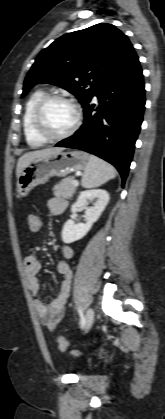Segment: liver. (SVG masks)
<instances>
[{
    "mask_svg": "<svg viewBox=\"0 0 165 419\" xmlns=\"http://www.w3.org/2000/svg\"><path fill=\"white\" fill-rule=\"evenodd\" d=\"M64 148H45L42 150H35V151H30L25 153L24 155H22L17 162V169H16V175H17V179L19 178L22 170L28 166V164L35 158L40 157V156H45V155H49V154H54L57 152H61L63 151Z\"/></svg>",
    "mask_w": 165,
    "mask_h": 419,
    "instance_id": "obj_1",
    "label": "liver"
}]
</instances>
